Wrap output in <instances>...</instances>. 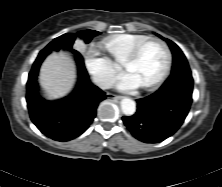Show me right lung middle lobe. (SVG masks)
Listing matches in <instances>:
<instances>
[{
  "label": "right lung middle lobe",
  "mask_w": 222,
  "mask_h": 187,
  "mask_svg": "<svg viewBox=\"0 0 222 187\" xmlns=\"http://www.w3.org/2000/svg\"><path fill=\"white\" fill-rule=\"evenodd\" d=\"M100 32L94 31V30H86V31H80L78 35L85 39L86 43H89L91 39L97 35H99ZM76 35L73 33H66L60 37L55 38L52 42H50L45 48L47 49H53V50H59L60 48H64L70 51L75 52L72 50V45L75 41Z\"/></svg>",
  "instance_id": "dd1d6c3e"
}]
</instances>
